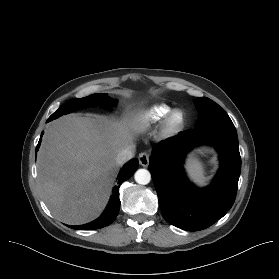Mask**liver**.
<instances>
[{
    "mask_svg": "<svg viewBox=\"0 0 279 279\" xmlns=\"http://www.w3.org/2000/svg\"><path fill=\"white\" fill-rule=\"evenodd\" d=\"M142 123L137 113L120 121L66 115L48 125L37 172L44 202L57 219L79 225L100 215L119 171L117 154L134 146Z\"/></svg>",
    "mask_w": 279,
    "mask_h": 279,
    "instance_id": "obj_1",
    "label": "liver"
}]
</instances>
